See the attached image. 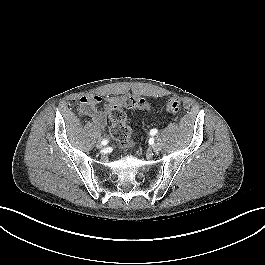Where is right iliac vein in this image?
I'll use <instances>...</instances> for the list:
<instances>
[{
	"mask_svg": "<svg viewBox=\"0 0 265 265\" xmlns=\"http://www.w3.org/2000/svg\"><path fill=\"white\" fill-rule=\"evenodd\" d=\"M96 146H97V148H103V144L102 143H100V142H98L97 144H96Z\"/></svg>",
	"mask_w": 265,
	"mask_h": 265,
	"instance_id": "right-iliac-vein-1",
	"label": "right iliac vein"
}]
</instances>
